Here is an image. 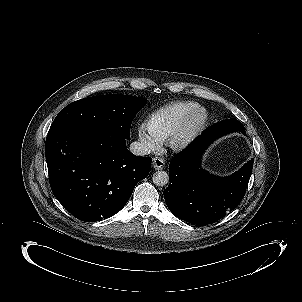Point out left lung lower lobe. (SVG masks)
<instances>
[{
	"label": "left lung lower lobe",
	"instance_id": "1",
	"mask_svg": "<svg viewBox=\"0 0 302 302\" xmlns=\"http://www.w3.org/2000/svg\"><path fill=\"white\" fill-rule=\"evenodd\" d=\"M218 137L209 127L170 162V183L163 191L164 199L169 210L184 221L198 225L214 223L244 197L253 159L224 178L211 175L200 166L204 150Z\"/></svg>",
	"mask_w": 302,
	"mask_h": 302
}]
</instances>
